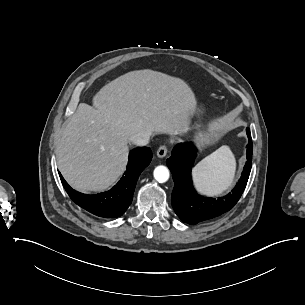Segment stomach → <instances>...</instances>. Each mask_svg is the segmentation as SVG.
<instances>
[{
  "instance_id": "0dacf381",
  "label": "stomach",
  "mask_w": 305,
  "mask_h": 305,
  "mask_svg": "<svg viewBox=\"0 0 305 305\" xmlns=\"http://www.w3.org/2000/svg\"><path fill=\"white\" fill-rule=\"evenodd\" d=\"M209 135L205 132H198L196 135H195V142L197 143V146L199 148H203L205 147L206 145L209 144Z\"/></svg>"
}]
</instances>
